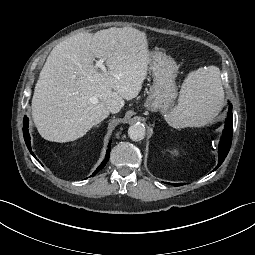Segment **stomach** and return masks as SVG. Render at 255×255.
I'll return each mask as SVG.
<instances>
[{"mask_svg": "<svg viewBox=\"0 0 255 255\" xmlns=\"http://www.w3.org/2000/svg\"><path fill=\"white\" fill-rule=\"evenodd\" d=\"M149 65L153 85L144 106L149 111L165 114L170 111L177 97L175 80L179 67L170 56L159 51L151 53Z\"/></svg>", "mask_w": 255, "mask_h": 255, "instance_id": "1", "label": "stomach"}]
</instances>
